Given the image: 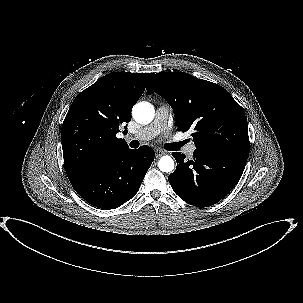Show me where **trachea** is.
Instances as JSON below:
<instances>
[{
	"mask_svg": "<svg viewBox=\"0 0 303 303\" xmlns=\"http://www.w3.org/2000/svg\"><path fill=\"white\" fill-rule=\"evenodd\" d=\"M183 144H184V142L170 143V144H169V148H170L171 150H177V149H179Z\"/></svg>",
	"mask_w": 303,
	"mask_h": 303,
	"instance_id": "1",
	"label": "trachea"
}]
</instances>
